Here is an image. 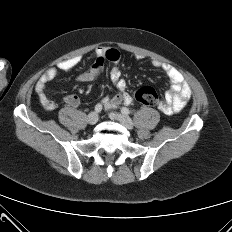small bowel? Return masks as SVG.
<instances>
[{
	"mask_svg": "<svg viewBox=\"0 0 232 232\" xmlns=\"http://www.w3.org/2000/svg\"><path fill=\"white\" fill-rule=\"evenodd\" d=\"M80 57H72L59 62L55 67L47 70L38 80L35 91L39 101L46 110H54L56 103L51 100L46 92V84L53 81L59 71H70L80 63ZM111 62L113 67L110 70V79L116 88V92L111 96L103 99V104L107 109H115L120 104H131L132 97L127 92V82L122 77L121 70L118 66L120 62V54L114 48L98 47L95 50V60L93 64L85 71L78 74L77 80L80 82H92L96 80L102 73L105 62ZM152 66L161 70L168 77L171 89L165 93L163 101L159 105V110L166 114H174L180 112L191 97V89L185 81L183 75L171 65L159 60H153ZM65 103L72 108L79 105V98L74 95H67Z\"/></svg>",
	"mask_w": 232,
	"mask_h": 232,
	"instance_id": "small-bowel-1",
	"label": "small bowel"
}]
</instances>
